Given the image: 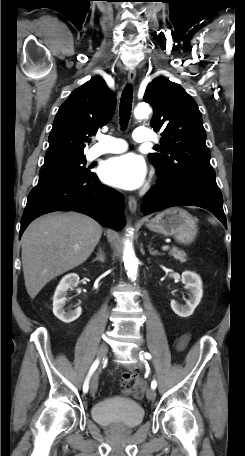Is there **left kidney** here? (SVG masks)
<instances>
[{"label":"left kidney","mask_w":245,"mask_h":456,"mask_svg":"<svg viewBox=\"0 0 245 456\" xmlns=\"http://www.w3.org/2000/svg\"><path fill=\"white\" fill-rule=\"evenodd\" d=\"M182 282L190 292L189 300L186 305H179L175 300L171 301V308L180 317L186 318L193 314L203 296L202 281L196 273L185 271L182 273Z\"/></svg>","instance_id":"left-kidney-1"}]
</instances>
